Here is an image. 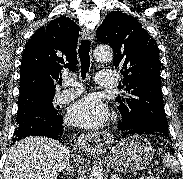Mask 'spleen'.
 <instances>
[{"mask_svg":"<svg viewBox=\"0 0 183 179\" xmlns=\"http://www.w3.org/2000/svg\"><path fill=\"white\" fill-rule=\"evenodd\" d=\"M164 165L173 173H178L180 170V164L176 158L170 154H165L163 156Z\"/></svg>","mask_w":183,"mask_h":179,"instance_id":"1","label":"spleen"}]
</instances>
